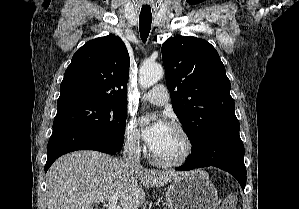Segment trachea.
<instances>
[{"label": "trachea", "instance_id": "3493384b", "mask_svg": "<svg viewBox=\"0 0 299 209\" xmlns=\"http://www.w3.org/2000/svg\"><path fill=\"white\" fill-rule=\"evenodd\" d=\"M152 23V17H139V28H140V36L143 42L147 41L148 35L150 33Z\"/></svg>", "mask_w": 299, "mask_h": 209}]
</instances>
